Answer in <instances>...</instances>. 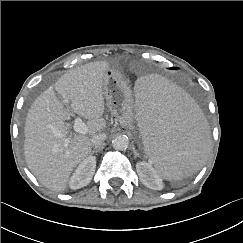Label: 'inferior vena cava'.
Returning <instances> with one entry per match:
<instances>
[{"label":"inferior vena cava","instance_id":"1","mask_svg":"<svg viewBox=\"0 0 243 243\" xmlns=\"http://www.w3.org/2000/svg\"><path fill=\"white\" fill-rule=\"evenodd\" d=\"M105 133H98L91 138V143L93 146H99L105 139H106Z\"/></svg>","mask_w":243,"mask_h":243}]
</instances>
